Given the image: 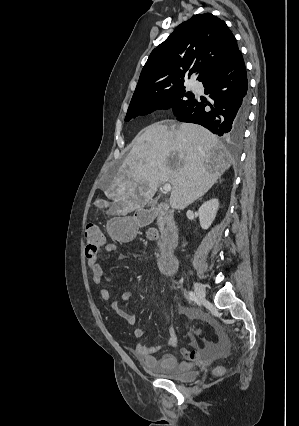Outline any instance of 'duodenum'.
<instances>
[{"mask_svg": "<svg viewBox=\"0 0 299 426\" xmlns=\"http://www.w3.org/2000/svg\"><path fill=\"white\" fill-rule=\"evenodd\" d=\"M155 218L161 219L164 225V235L160 241V257L158 261L160 271L165 275H172L177 269L175 249L178 239V231L172 220L170 212L159 207L141 212L137 217L139 224H147Z\"/></svg>", "mask_w": 299, "mask_h": 426, "instance_id": "1", "label": "duodenum"}]
</instances>
